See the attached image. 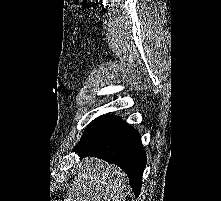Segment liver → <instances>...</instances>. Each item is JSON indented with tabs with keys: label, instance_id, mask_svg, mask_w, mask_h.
Wrapping results in <instances>:
<instances>
[{
	"label": "liver",
	"instance_id": "liver-1",
	"mask_svg": "<svg viewBox=\"0 0 221 201\" xmlns=\"http://www.w3.org/2000/svg\"><path fill=\"white\" fill-rule=\"evenodd\" d=\"M78 168L65 201H125L128 180L119 167L87 157Z\"/></svg>",
	"mask_w": 221,
	"mask_h": 201
}]
</instances>
